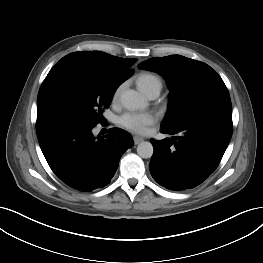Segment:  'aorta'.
Instances as JSON below:
<instances>
[{
  "label": "aorta",
  "mask_w": 263,
  "mask_h": 263,
  "mask_svg": "<svg viewBox=\"0 0 263 263\" xmlns=\"http://www.w3.org/2000/svg\"><path fill=\"white\" fill-rule=\"evenodd\" d=\"M121 102L128 110L144 109L147 102L144 97L135 90H127L121 95ZM153 146L150 142L143 141L137 146V153L142 158H151L153 155Z\"/></svg>",
  "instance_id": "aorta-1"
}]
</instances>
